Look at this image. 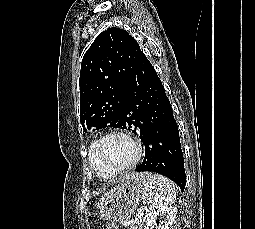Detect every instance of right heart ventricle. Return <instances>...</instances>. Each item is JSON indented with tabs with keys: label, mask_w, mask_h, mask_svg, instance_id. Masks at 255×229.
Listing matches in <instances>:
<instances>
[{
	"label": "right heart ventricle",
	"mask_w": 255,
	"mask_h": 229,
	"mask_svg": "<svg viewBox=\"0 0 255 229\" xmlns=\"http://www.w3.org/2000/svg\"><path fill=\"white\" fill-rule=\"evenodd\" d=\"M91 146H92V143L90 144L89 149H88L87 159H88L89 166L94 171V173L98 177H100L101 179H104V180H108V179H112V178L116 177V175H110L105 170L102 169V167L99 165V163L94 159V157L92 155Z\"/></svg>",
	"instance_id": "e07e8e85"
}]
</instances>
